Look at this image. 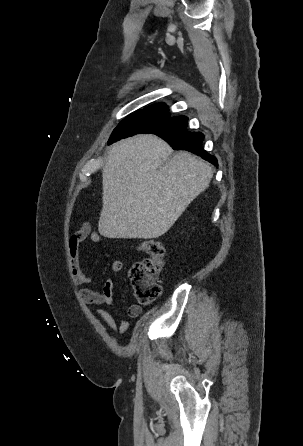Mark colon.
<instances>
[{"instance_id": "colon-1", "label": "colon", "mask_w": 303, "mask_h": 446, "mask_svg": "<svg viewBox=\"0 0 303 446\" xmlns=\"http://www.w3.org/2000/svg\"><path fill=\"white\" fill-rule=\"evenodd\" d=\"M138 250L149 257L132 266L129 279L136 300L149 304L156 301L162 293L156 280L165 262V247L160 241L147 239L139 243Z\"/></svg>"}]
</instances>
